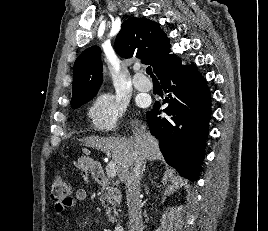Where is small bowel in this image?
<instances>
[{
    "mask_svg": "<svg viewBox=\"0 0 268 231\" xmlns=\"http://www.w3.org/2000/svg\"><path fill=\"white\" fill-rule=\"evenodd\" d=\"M87 199V192L83 188H77L74 191V196L72 197V200L69 202V204H56L55 210L56 212H62L67 208H70L74 205V203H83Z\"/></svg>",
    "mask_w": 268,
    "mask_h": 231,
    "instance_id": "obj_1",
    "label": "small bowel"
}]
</instances>
